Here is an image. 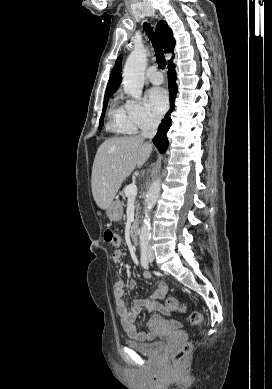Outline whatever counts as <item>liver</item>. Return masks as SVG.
Listing matches in <instances>:
<instances>
[{"instance_id":"1","label":"liver","mask_w":272,"mask_h":389,"mask_svg":"<svg viewBox=\"0 0 272 389\" xmlns=\"http://www.w3.org/2000/svg\"><path fill=\"white\" fill-rule=\"evenodd\" d=\"M142 136L105 140L98 148L91 175L92 195L100 209L113 202L124 180L135 167H142L152 152Z\"/></svg>"}]
</instances>
